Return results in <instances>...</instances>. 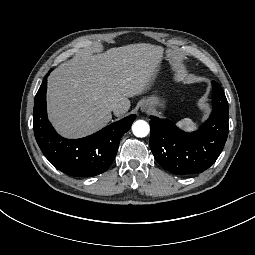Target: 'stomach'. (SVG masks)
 I'll use <instances>...</instances> for the list:
<instances>
[{
	"label": "stomach",
	"instance_id": "obj_1",
	"mask_svg": "<svg viewBox=\"0 0 255 255\" xmlns=\"http://www.w3.org/2000/svg\"><path fill=\"white\" fill-rule=\"evenodd\" d=\"M144 103H147V109H148L147 112L150 114L153 113V109L156 106H159L161 108L165 107V102L156 95H152V96L146 98L144 100L143 104Z\"/></svg>",
	"mask_w": 255,
	"mask_h": 255
}]
</instances>
